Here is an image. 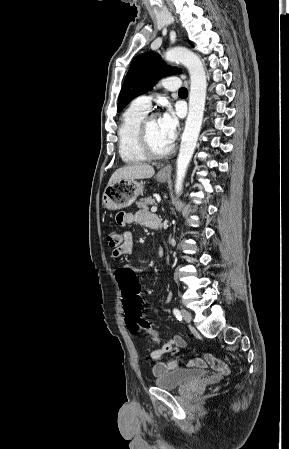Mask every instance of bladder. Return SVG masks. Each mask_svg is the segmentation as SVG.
Here are the masks:
<instances>
[{
    "label": "bladder",
    "mask_w": 289,
    "mask_h": 449,
    "mask_svg": "<svg viewBox=\"0 0 289 449\" xmlns=\"http://www.w3.org/2000/svg\"><path fill=\"white\" fill-rule=\"evenodd\" d=\"M207 374L203 369H174L165 374L158 375L154 379L156 387L173 390L185 387L195 381L200 380Z\"/></svg>",
    "instance_id": "bladder-1"
}]
</instances>
